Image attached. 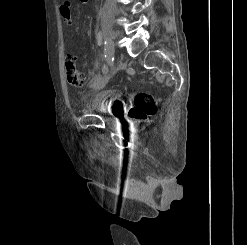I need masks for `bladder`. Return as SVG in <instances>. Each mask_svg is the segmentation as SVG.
<instances>
[{
	"instance_id": "obj_1",
	"label": "bladder",
	"mask_w": 247,
	"mask_h": 245,
	"mask_svg": "<svg viewBox=\"0 0 247 245\" xmlns=\"http://www.w3.org/2000/svg\"><path fill=\"white\" fill-rule=\"evenodd\" d=\"M121 94L114 90H99L90 100L89 109L98 113H107L115 110L120 104Z\"/></svg>"
}]
</instances>
